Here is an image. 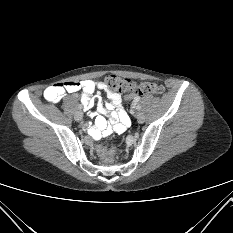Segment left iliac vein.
<instances>
[{"label":"left iliac vein","mask_w":233,"mask_h":233,"mask_svg":"<svg viewBox=\"0 0 233 233\" xmlns=\"http://www.w3.org/2000/svg\"><path fill=\"white\" fill-rule=\"evenodd\" d=\"M136 118L139 123H143L145 121V116L142 112H138L136 114Z\"/></svg>","instance_id":"4c4485c4"}]
</instances>
